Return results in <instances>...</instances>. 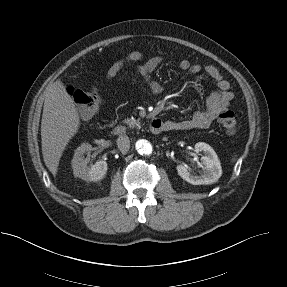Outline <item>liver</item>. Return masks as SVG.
<instances>
[{
	"label": "liver",
	"instance_id": "liver-1",
	"mask_svg": "<svg viewBox=\"0 0 287 287\" xmlns=\"http://www.w3.org/2000/svg\"><path fill=\"white\" fill-rule=\"evenodd\" d=\"M79 125V113L64 84L60 80L50 84L43 106L41 143L45 165L54 176L62 153Z\"/></svg>",
	"mask_w": 287,
	"mask_h": 287
}]
</instances>
